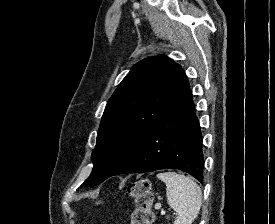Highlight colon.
I'll use <instances>...</instances> for the list:
<instances>
[{"label":"colon","instance_id":"1","mask_svg":"<svg viewBox=\"0 0 275 224\" xmlns=\"http://www.w3.org/2000/svg\"><path fill=\"white\" fill-rule=\"evenodd\" d=\"M129 193L135 203L131 224H152L153 192L148 179H140L129 186Z\"/></svg>","mask_w":275,"mask_h":224}]
</instances>
